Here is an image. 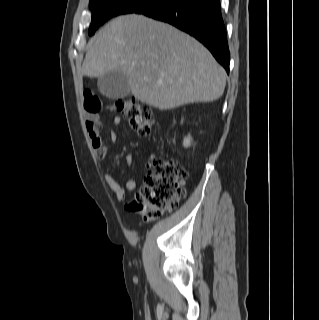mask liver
Masks as SVG:
<instances>
[{"label":"liver","instance_id":"1","mask_svg":"<svg viewBox=\"0 0 319 320\" xmlns=\"http://www.w3.org/2000/svg\"><path fill=\"white\" fill-rule=\"evenodd\" d=\"M113 71L127 76L136 99L160 110L213 102L226 85L224 69L196 39L137 14L113 19L88 42L83 75Z\"/></svg>","mask_w":319,"mask_h":320}]
</instances>
